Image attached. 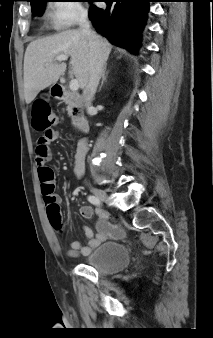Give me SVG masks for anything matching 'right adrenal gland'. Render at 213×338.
Wrapping results in <instances>:
<instances>
[{"label":"right adrenal gland","instance_id":"2a0ac1e0","mask_svg":"<svg viewBox=\"0 0 213 338\" xmlns=\"http://www.w3.org/2000/svg\"><path fill=\"white\" fill-rule=\"evenodd\" d=\"M107 75H108V72L106 71V65H105V66H104V69H103V72H102V75H101V78H102V79H101V84H100V86H99V88H98V91L101 90V88H102L104 82L106 81Z\"/></svg>","mask_w":213,"mask_h":338}]
</instances>
